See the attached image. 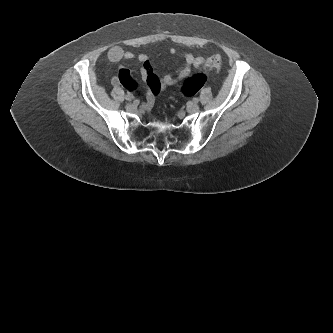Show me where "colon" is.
I'll use <instances>...</instances> for the list:
<instances>
[{
	"mask_svg": "<svg viewBox=\"0 0 333 333\" xmlns=\"http://www.w3.org/2000/svg\"><path fill=\"white\" fill-rule=\"evenodd\" d=\"M222 61L219 56H212L207 59L205 63V68L208 71L219 70L221 67ZM206 74L198 73L188 79H186L181 87V91L186 96H191L196 94L206 83Z\"/></svg>",
	"mask_w": 333,
	"mask_h": 333,
	"instance_id": "1",
	"label": "colon"
}]
</instances>
